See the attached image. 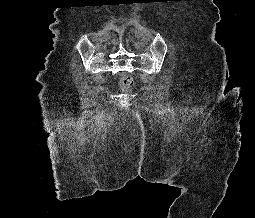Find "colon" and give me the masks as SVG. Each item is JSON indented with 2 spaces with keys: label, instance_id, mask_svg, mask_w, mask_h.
Here are the masks:
<instances>
[{
  "label": "colon",
  "instance_id": "obj_1",
  "mask_svg": "<svg viewBox=\"0 0 255 218\" xmlns=\"http://www.w3.org/2000/svg\"><path fill=\"white\" fill-rule=\"evenodd\" d=\"M133 86V78L129 74H123L121 77V87L123 90H128Z\"/></svg>",
  "mask_w": 255,
  "mask_h": 218
}]
</instances>
